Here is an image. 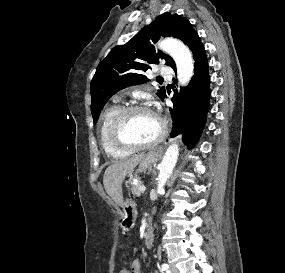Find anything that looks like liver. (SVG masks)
Listing matches in <instances>:
<instances>
[{
  "label": "liver",
  "mask_w": 285,
  "mask_h": 273,
  "mask_svg": "<svg viewBox=\"0 0 285 273\" xmlns=\"http://www.w3.org/2000/svg\"><path fill=\"white\" fill-rule=\"evenodd\" d=\"M144 158V154L133 156L129 159L115 161L104 173L103 184L107 194L116 204L123 207L122 182L137 164Z\"/></svg>",
  "instance_id": "obj_1"
}]
</instances>
